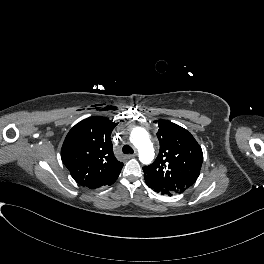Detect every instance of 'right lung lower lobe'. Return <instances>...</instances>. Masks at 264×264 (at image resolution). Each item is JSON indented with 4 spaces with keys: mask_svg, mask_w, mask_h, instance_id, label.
Returning <instances> with one entry per match:
<instances>
[{
    "mask_svg": "<svg viewBox=\"0 0 264 264\" xmlns=\"http://www.w3.org/2000/svg\"><path fill=\"white\" fill-rule=\"evenodd\" d=\"M118 176H119V175H117L112 181H110V182L107 183L106 185H111V184H113V183L117 180ZM106 185H104V186H106Z\"/></svg>",
    "mask_w": 264,
    "mask_h": 264,
    "instance_id": "98d812e1",
    "label": "right lung lower lobe"
}]
</instances>
